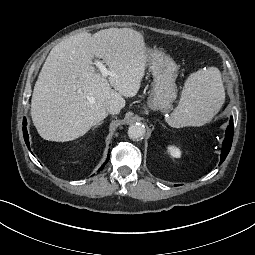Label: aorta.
<instances>
[{
    "instance_id": "obj_1",
    "label": "aorta",
    "mask_w": 255,
    "mask_h": 255,
    "mask_svg": "<svg viewBox=\"0 0 255 255\" xmlns=\"http://www.w3.org/2000/svg\"><path fill=\"white\" fill-rule=\"evenodd\" d=\"M145 127L140 123L132 124L128 128V136L132 140H138L145 135Z\"/></svg>"
}]
</instances>
